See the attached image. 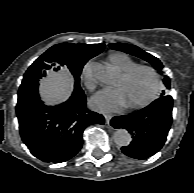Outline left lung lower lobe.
I'll return each mask as SVG.
<instances>
[{
	"label": "left lung lower lobe",
	"instance_id": "obj_1",
	"mask_svg": "<svg viewBox=\"0 0 194 193\" xmlns=\"http://www.w3.org/2000/svg\"><path fill=\"white\" fill-rule=\"evenodd\" d=\"M173 99L165 95L134 113L114 117L111 125L126 129L132 137L122 152L135 159H146L164 145L172 123Z\"/></svg>",
	"mask_w": 194,
	"mask_h": 193
}]
</instances>
